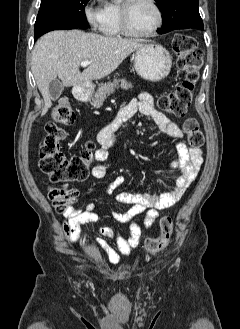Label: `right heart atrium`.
<instances>
[{
    "label": "right heart atrium",
    "mask_w": 240,
    "mask_h": 329,
    "mask_svg": "<svg viewBox=\"0 0 240 329\" xmlns=\"http://www.w3.org/2000/svg\"><path fill=\"white\" fill-rule=\"evenodd\" d=\"M84 15L91 27L95 29L99 28L104 16L103 8L99 5H95L94 0L89 1L84 8Z\"/></svg>",
    "instance_id": "right-heart-atrium-1"
}]
</instances>
